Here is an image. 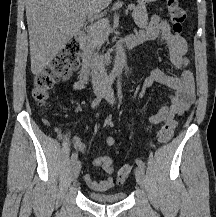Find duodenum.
I'll return each instance as SVG.
<instances>
[{"instance_id":"obj_1","label":"duodenum","mask_w":216,"mask_h":217,"mask_svg":"<svg viewBox=\"0 0 216 217\" xmlns=\"http://www.w3.org/2000/svg\"><path fill=\"white\" fill-rule=\"evenodd\" d=\"M76 39L81 44L83 48L82 54V66L80 69V73L83 75H88L91 70L99 65L98 60L96 59L95 55L91 51L87 43V35L84 30H79L75 34ZM142 42V37L140 35L129 36L125 38L117 47L116 49L128 50L135 45ZM112 60V55L108 54L103 59V63L108 64Z\"/></svg>"}]
</instances>
